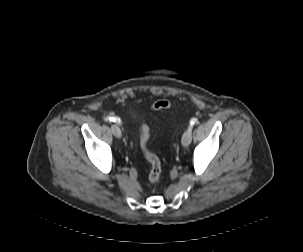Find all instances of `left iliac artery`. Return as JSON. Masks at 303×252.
I'll list each match as a JSON object with an SVG mask.
<instances>
[{"instance_id":"44dca946","label":"left iliac artery","mask_w":303,"mask_h":252,"mask_svg":"<svg viewBox=\"0 0 303 252\" xmlns=\"http://www.w3.org/2000/svg\"><path fill=\"white\" fill-rule=\"evenodd\" d=\"M198 122L197 118H192L190 121L189 129L192 130V127Z\"/></svg>"}]
</instances>
